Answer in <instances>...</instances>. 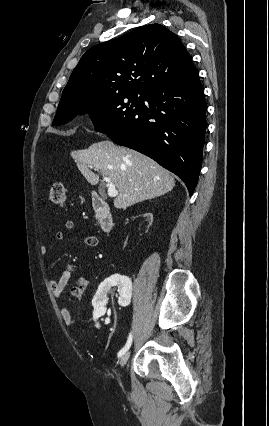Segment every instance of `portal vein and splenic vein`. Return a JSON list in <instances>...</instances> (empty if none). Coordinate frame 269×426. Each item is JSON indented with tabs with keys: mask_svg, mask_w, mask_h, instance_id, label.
Segmentation results:
<instances>
[{
	"mask_svg": "<svg viewBox=\"0 0 269 426\" xmlns=\"http://www.w3.org/2000/svg\"><path fill=\"white\" fill-rule=\"evenodd\" d=\"M90 168H93L92 166H90ZM105 182L107 183V194L109 197H116L118 195V191L115 188V185L113 184V182L108 178V177H104Z\"/></svg>",
	"mask_w": 269,
	"mask_h": 426,
	"instance_id": "obj_1",
	"label": "portal vein and splenic vein"
}]
</instances>
